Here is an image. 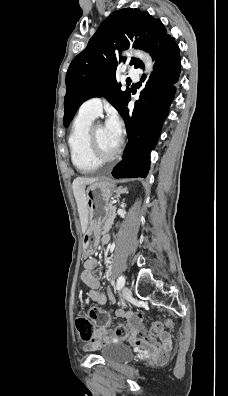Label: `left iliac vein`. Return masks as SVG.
<instances>
[{
  "instance_id": "obj_1",
  "label": "left iliac vein",
  "mask_w": 228,
  "mask_h": 396,
  "mask_svg": "<svg viewBox=\"0 0 228 396\" xmlns=\"http://www.w3.org/2000/svg\"><path fill=\"white\" fill-rule=\"evenodd\" d=\"M122 295L124 299H128L131 296V290L129 287L125 286L122 290Z\"/></svg>"
}]
</instances>
